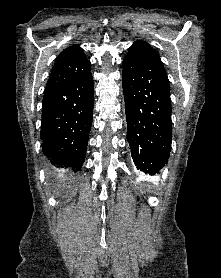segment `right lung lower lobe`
<instances>
[{"instance_id":"right-lung-lower-lobe-1","label":"right lung lower lobe","mask_w":221,"mask_h":278,"mask_svg":"<svg viewBox=\"0 0 221 278\" xmlns=\"http://www.w3.org/2000/svg\"><path fill=\"white\" fill-rule=\"evenodd\" d=\"M94 86L91 73L44 92L41 139L52 172L69 179L82 166L92 124Z\"/></svg>"}]
</instances>
